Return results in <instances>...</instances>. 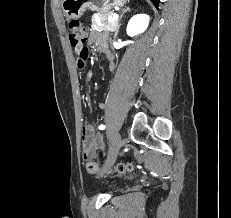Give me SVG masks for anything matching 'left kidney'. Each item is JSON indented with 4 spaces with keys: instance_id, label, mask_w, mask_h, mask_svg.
Instances as JSON below:
<instances>
[{
    "instance_id": "5707ae66",
    "label": "left kidney",
    "mask_w": 231,
    "mask_h": 218,
    "mask_svg": "<svg viewBox=\"0 0 231 218\" xmlns=\"http://www.w3.org/2000/svg\"><path fill=\"white\" fill-rule=\"evenodd\" d=\"M149 20L150 17L146 14H137L133 16L127 25V35L133 37L143 33L148 27Z\"/></svg>"
}]
</instances>
